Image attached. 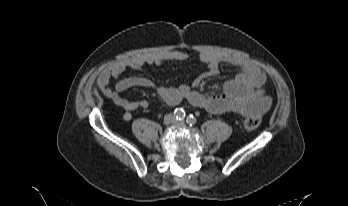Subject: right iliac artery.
<instances>
[{
    "mask_svg": "<svg viewBox=\"0 0 348 206\" xmlns=\"http://www.w3.org/2000/svg\"><path fill=\"white\" fill-rule=\"evenodd\" d=\"M174 116L177 120L181 121L185 118L186 114L182 108H176L174 111Z\"/></svg>",
    "mask_w": 348,
    "mask_h": 206,
    "instance_id": "right-iliac-artery-1",
    "label": "right iliac artery"
}]
</instances>
